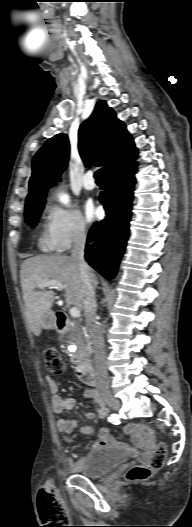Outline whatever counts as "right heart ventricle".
Here are the masks:
<instances>
[{
    "mask_svg": "<svg viewBox=\"0 0 192 527\" xmlns=\"http://www.w3.org/2000/svg\"><path fill=\"white\" fill-rule=\"evenodd\" d=\"M39 247L43 250V251H51L53 250L52 246H51V243H50V240H49V236H48V233H42L39 237Z\"/></svg>",
    "mask_w": 192,
    "mask_h": 527,
    "instance_id": "right-heart-ventricle-1",
    "label": "right heart ventricle"
}]
</instances>
